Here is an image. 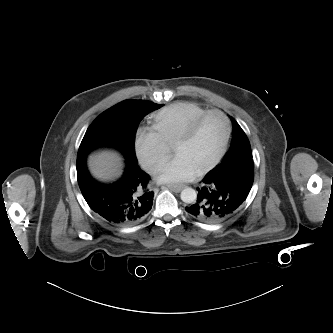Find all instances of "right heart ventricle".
Returning a JSON list of instances; mask_svg holds the SVG:
<instances>
[{
  "instance_id": "obj_1",
  "label": "right heart ventricle",
  "mask_w": 333,
  "mask_h": 333,
  "mask_svg": "<svg viewBox=\"0 0 333 333\" xmlns=\"http://www.w3.org/2000/svg\"><path fill=\"white\" fill-rule=\"evenodd\" d=\"M205 112L206 109L196 103H173L153 116L152 128L167 144H171L194 119Z\"/></svg>"
}]
</instances>
